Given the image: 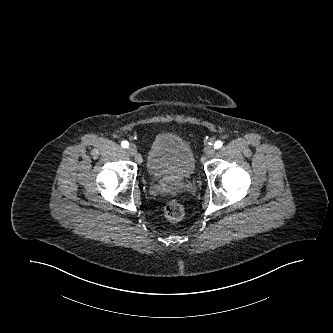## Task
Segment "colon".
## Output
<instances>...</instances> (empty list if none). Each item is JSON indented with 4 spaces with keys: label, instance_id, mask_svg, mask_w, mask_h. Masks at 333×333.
Wrapping results in <instances>:
<instances>
[{
    "label": "colon",
    "instance_id": "colon-1",
    "mask_svg": "<svg viewBox=\"0 0 333 333\" xmlns=\"http://www.w3.org/2000/svg\"><path fill=\"white\" fill-rule=\"evenodd\" d=\"M164 215L170 221H179L184 215L182 206L177 202H169L164 207Z\"/></svg>",
    "mask_w": 333,
    "mask_h": 333
}]
</instances>
